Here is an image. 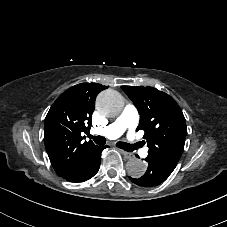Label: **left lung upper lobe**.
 Here are the masks:
<instances>
[{
  "label": "left lung upper lobe",
  "mask_w": 227,
  "mask_h": 227,
  "mask_svg": "<svg viewBox=\"0 0 227 227\" xmlns=\"http://www.w3.org/2000/svg\"><path fill=\"white\" fill-rule=\"evenodd\" d=\"M141 116L137 130H144L149 158L175 168L184 150L185 117L168 94L152 87H121Z\"/></svg>",
  "instance_id": "obj_1"
}]
</instances>
